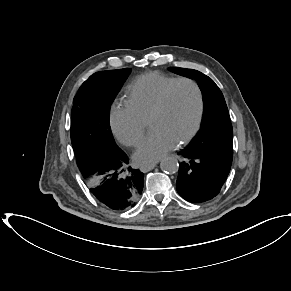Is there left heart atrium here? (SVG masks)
Here are the masks:
<instances>
[{"label":"left heart atrium","mask_w":291,"mask_h":291,"mask_svg":"<svg viewBox=\"0 0 291 291\" xmlns=\"http://www.w3.org/2000/svg\"><path fill=\"white\" fill-rule=\"evenodd\" d=\"M176 145L177 141L173 137L165 132L155 131L138 146L134 160L141 165L155 163Z\"/></svg>","instance_id":"39dd6f15"}]
</instances>
